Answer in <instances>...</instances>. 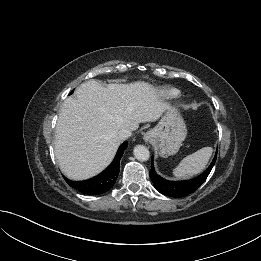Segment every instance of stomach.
Masks as SVG:
<instances>
[{
    "label": "stomach",
    "instance_id": "stomach-1",
    "mask_svg": "<svg viewBox=\"0 0 261 261\" xmlns=\"http://www.w3.org/2000/svg\"><path fill=\"white\" fill-rule=\"evenodd\" d=\"M151 143L161 157H168L178 152L187 135L186 125L176 108L170 107L159 123L150 130Z\"/></svg>",
    "mask_w": 261,
    "mask_h": 261
}]
</instances>
